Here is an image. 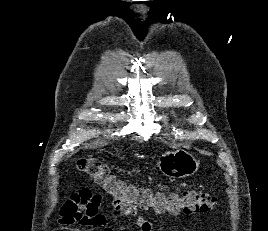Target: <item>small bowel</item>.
I'll list each match as a JSON object with an SVG mask.
<instances>
[{
	"mask_svg": "<svg viewBox=\"0 0 268 231\" xmlns=\"http://www.w3.org/2000/svg\"><path fill=\"white\" fill-rule=\"evenodd\" d=\"M86 192L87 196L80 195ZM103 197L89 188L72 195L61 207L58 223L64 226L97 228L101 231H113L109 219L99 212ZM120 215L131 216L141 231H154L153 225L136 208L124 211L117 204L112 205Z\"/></svg>",
	"mask_w": 268,
	"mask_h": 231,
	"instance_id": "small-bowel-1",
	"label": "small bowel"
}]
</instances>
